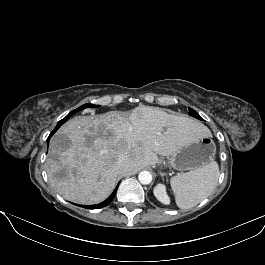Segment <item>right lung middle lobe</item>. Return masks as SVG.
Returning <instances> with one entry per match:
<instances>
[{"mask_svg":"<svg viewBox=\"0 0 265 265\" xmlns=\"http://www.w3.org/2000/svg\"><path fill=\"white\" fill-rule=\"evenodd\" d=\"M89 107L97 108V107H99V105L84 104V105H82L81 107H79V108L75 109L74 111H72L71 113H69L65 118H63L62 120H60V121L58 122L57 125H61V124H63V123H64L68 118H70L75 112L80 111V110H83V109H85V108H89Z\"/></svg>","mask_w":265,"mask_h":265,"instance_id":"dd1d6c3e","label":"right lung middle lobe"}]
</instances>
